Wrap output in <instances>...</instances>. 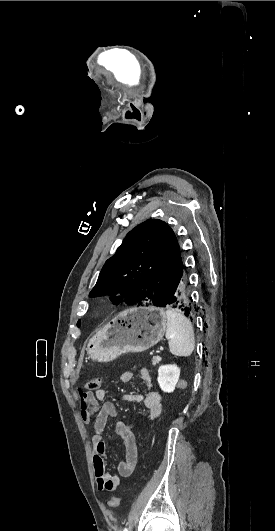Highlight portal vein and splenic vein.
<instances>
[{
    "label": "portal vein and splenic vein",
    "mask_w": 275,
    "mask_h": 531,
    "mask_svg": "<svg viewBox=\"0 0 275 531\" xmlns=\"http://www.w3.org/2000/svg\"><path fill=\"white\" fill-rule=\"evenodd\" d=\"M169 342H172V339H169ZM160 350H164V347H160Z\"/></svg>",
    "instance_id": "18ae733b"
}]
</instances>
